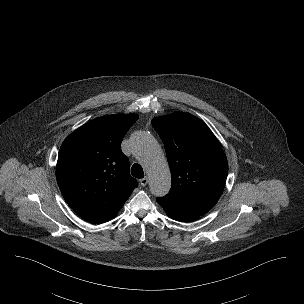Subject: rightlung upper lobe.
I'll return each mask as SVG.
<instances>
[{
    "mask_svg": "<svg viewBox=\"0 0 304 304\" xmlns=\"http://www.w3.org/2000/svg\"><path fill=\"white\" fill-rule=\"evenodd\" d=\"M138 115L97 118L63 142L56 178L67 203L81 217L103 223L116 216L137 182L130 176L121 141Z\"/></svg>",
    "mask_w": 304,
    "mask_h": 304,
    "instance_id": "cb5924a9",
    "label": "right lung upper lobe"
}]
</instances>
